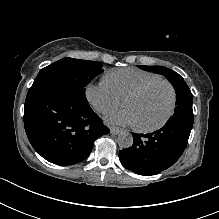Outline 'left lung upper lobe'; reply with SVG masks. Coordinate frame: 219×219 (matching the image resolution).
<instances>
[{
    "label": "left lung upper lobe",
    "instance_id": "5c2ea615",
    "mask_svg": "<svg viewBox=\"0 0 219 219\" xmlns=\"http://www.w3.org/2000/svg\"><path fill=\"white\" fill-rule=\"evenodd\" d=\"M140 69L164 75L173 85L177 94V107L171 118H193V96L183 77L175 71L162 66H138Z\"/></svg>",
    "mask_w": 219,
    "mask_h": 219
}]
</instances>
